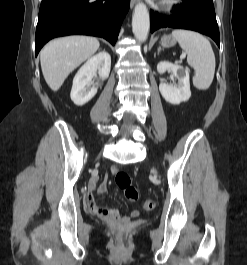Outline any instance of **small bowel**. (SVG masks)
Returning a JSON list of instances; mask_svg holds the SVG:
<instances>
[{
  "mask_svg": "<svg viewBox=\"0 0 247 265\" xmlns=\"http://www.w3.org/2000/svg\"><path fill=\"white\" fill-rule=\"evenodd\" d=\"M108 190V177L105 176L103 182L100 184L98 189L95 191V189H92L87 197V203L89 208L93 213L96 215L104 218L108 221H119L121 220V217L119 215V212L115 209H108L102 206H99L96 203L95 193L98 196H102L105 194ZM139 215V212L137 210H134L131 212V217H137ZM125 219V218H124Z\"/></svg>",
  "mask_w": 247,
  "mask_h": 265,
  "instance_id": "obj_1",
  "label": "small bowel"
}]
</instances>
